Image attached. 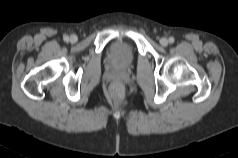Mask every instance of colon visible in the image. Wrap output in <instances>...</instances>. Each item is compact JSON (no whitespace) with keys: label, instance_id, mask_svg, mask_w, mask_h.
I'll use <instances>...</instances> for the list:
<instances>
[{"label":"colon","instance_id":"colon-1","mask_svg":"<svg viewBox=\"0 0 238 158\" xmlns=\"http://www.w3.org/2000/svg\"><path fill=\"white\" fill-rule=\"evenodd\" d=\"M124 95V88L121 83L114 82L110 87V96L115 100H120Z\"/></svg>","mask_w":238,"mask_h":158}]
</instances>
